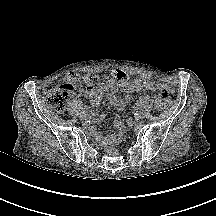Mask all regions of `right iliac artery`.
<instances>
[{
  "instance_id": "right-iliac-artery-1",
  "label": "right iliac artery",
  "mask_w": 216,
  "mask_h": 216,
  "mask_svg": "<svg viewBox=\"0 0 216 216\" xmlns=\"http://www.w3.org/2000/svg\"><path fill=\"white\" fill-rule=\"evenodd\" d=\"M87 112H88L87 109H83L81 113H82V114H86Z\"/></svg>"
}]
</instances>
